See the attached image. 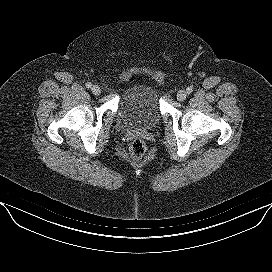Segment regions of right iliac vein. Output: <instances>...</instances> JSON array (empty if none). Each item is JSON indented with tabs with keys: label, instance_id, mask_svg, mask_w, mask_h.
<instances>
[{
	"label": "right iliac vein",
	"instance_id": "1",
	"mask_svg": "<svg viewBox=\"0 0 272 272\" xmlns=\"http://www.w3.org/2000/svg\"><path fill=\"white\" fill-rule=\"evenodd\" d=\"M91 91L94 95H100L101 93V88L98 86V85H94L92 88H91Z\"/></svg>",
	"mask_w": 272,
	"mask_h": 272
}]
</instances>
